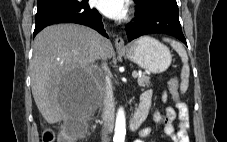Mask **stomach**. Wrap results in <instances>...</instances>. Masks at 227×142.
Returning a JSON list of instances; mask_svg holds the SVG:
<instances>
[{"instance_id": "0dacf381", "label": "stomach", "mask_w": 227, "mask_h": 142, "mask_svg": "<svg viewBox=\"0 0 227 142\" xmlns=\"http://www.w3.org/2000/svg\"><path fill=\"white\" fill-rule=\"evenodd\" d=\"M120 52L141 68L154 74L166 71L172 61L169 49L149 36L133 41Z\"/></svg>"}]
</instances>
